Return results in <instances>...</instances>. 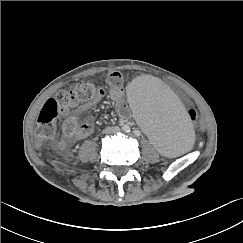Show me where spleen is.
Listing matches in <instances>:
<instances>
[{"mask_svg": "<svg viewBox=\"0 0 243 243\" xmlns=\"http://www.w3.org/2000/svg\"><path fill=\"white\" fill-rule=\"evenodd\" d=\"M125 100L156 151L169 157L189 151L194 141L190 118L181 99L161 78L152 74L134 78Z\"/></svg>", "mask_w": 243, "mask_h": 243, "instance_id": "1", "label": "spleen"}]
</instances>
